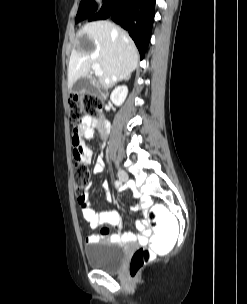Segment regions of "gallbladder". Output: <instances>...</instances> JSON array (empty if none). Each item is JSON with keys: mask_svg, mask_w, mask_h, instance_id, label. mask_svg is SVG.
I'll use <instances>...</instances> for the list:
<instances>
[{"mask_svg": "<svg viewBox=\"0 0 247 304\" xmlns=\"http://www.w3.org/2000/svg\"><path fill=\"white\" fill-rule=\"evenodd\" d=\"M92 90L87 77L79 78L71 87V92L73 94L84 93L86 91Z\"/></svg>", "mask_w": 247, "mask_h": 304, "instance_id": "1", "label": "gallbladder"}]
</instances>
